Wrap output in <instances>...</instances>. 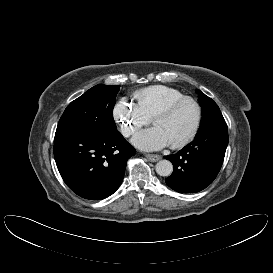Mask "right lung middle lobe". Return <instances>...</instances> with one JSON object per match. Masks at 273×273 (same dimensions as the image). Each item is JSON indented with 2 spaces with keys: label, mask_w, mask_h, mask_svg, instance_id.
<instances>
[{
  "label": "right lung middle lobe",
  "mask_w": 273,
  "mask_h": 273,
  "mask_svg": "<svg viewBox=\"0 0 273 273\" xmlns=\"http://www.w3.org/2000/svg\"><path fill=\"white\" fill-rule=\"evenodd\" d=\"M120 86L96 85L72 101L61 116L55 137L95 132L103 136L118 133L113 108Z\"/></svg>",
  "instance_id": "obj_1"
}]
</instances>
